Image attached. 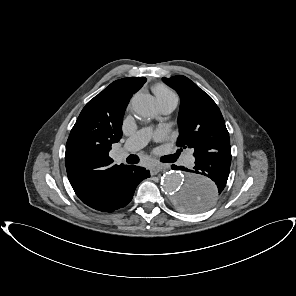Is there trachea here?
Returning <instances> with one entry per match:
<instances>
[{
  "label": "trachea",
  "mask_w": 296,
  "mask_h": 296,
  "mask_svg": "<svg viewBox=\"0 0 296 296\" xmlns=\"http://www.w3.org/2000/svg\"><path fill=\"white\" fill-rule=\"evenodd\" d=\"M126 161L129 164H137L139 162V157L137 155H129Z\"/></svg>",
  "instance_id": "trachea-1"
}]
</instances>
